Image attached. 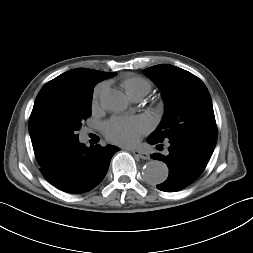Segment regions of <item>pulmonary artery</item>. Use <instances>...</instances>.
<instances>
[{
  "mask_svg": "<svg viewBox=\"0 0 253 253\" xmlns=\"http://www.w3.org/2000/svg\"><path fill=\"white\" fill-rule=\"evenodd\" d=\"M145 95L143 94H136L134 96H132L131 98L134 100V101H140Z\"/></svg>",
  "mask_w": 253,
  "mask_h": 253,
  "instance_id": "1",
  "label": "pulmonary artery"
}]
</instances>
